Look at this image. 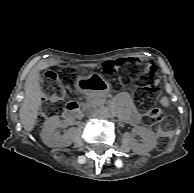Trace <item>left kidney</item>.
<instances>
[{"label": "left kidney", "instance_id": "1", "mask_svg": "<svg viewBox=\"0 0 194 193\" xmlns=\"http://www.w3.org/2000/svg\"><path fill=\"white\" fill-rule=\"evenodd\" d=\"M133 132L143 138V143H138L135 140L132 142V150L137 154H145L156 147L157 136L153 131L143 126H137L134 128Z\"/></svg>", "mask_w": 194, "mask_h": 193}]
</instances>
